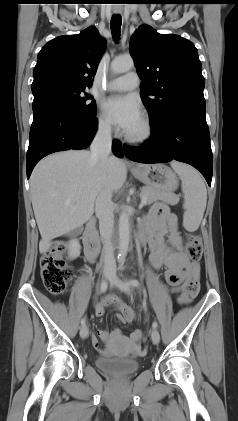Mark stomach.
<instances>
[{
	"mask_svg": "<svg viewBox=\"0 0 238 421\" xmlns=\"http://www.w3.org/2000/svg\"><path fill=\"white\" fill-rule=\"evenodd\" d=\"M132 174L147 187L172 193L178 188L176 174L164 164H151L131 169Z\"/></svg>",
	"mask_w": 238,
	"mask_h": 421,
	"instance_id": "obj_1",
	"label": "stomach"
}]
</instances>
